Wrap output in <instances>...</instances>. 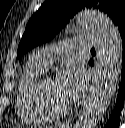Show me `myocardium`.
Returning <instances> with one entry per match:
<instances>
[{
	"instance_id": "f54148a6",
	"label": "myocardium",
	"mask_w": 125,
	"mask_h": 128,
	"mask_svg": "<svg viewBox=\"0 0 125 128\" xmlns=\"http://www.w3.org/2000/svg\"><path fill=\"white\" fill-rule=\"evenodd\" d=\"M51 77L52 75L45 74L39 78L35 86V95L39 106L46 114H48L51 118H59L69 113L71 106H55L47 99L44 91V85Z\"/></svg>"
}]
</instances>
